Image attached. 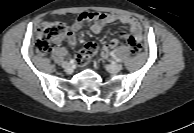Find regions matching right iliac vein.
Instances as JSON below:
<instances>
[{
  "label": "right iliac vein",
  "instance_id": "obj_1",
  "mask_svg": "<svg viewBox=\"0 0 194 133\" xmlns=\"http://www.w3.org/2000/svg\"><path fill=\"white\" fill-rule=\"evenodd\" d=\"M62 67L67 70V71H71L72 70V65L68 62H63L62 63Z\"/></svg>",
  "mask_w": 194,
  "mask_h": 133
}]
</instances>
